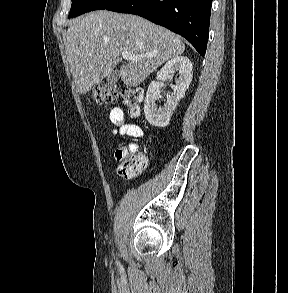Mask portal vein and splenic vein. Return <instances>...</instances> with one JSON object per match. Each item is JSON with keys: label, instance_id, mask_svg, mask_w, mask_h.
Here are the masks:
<instances>
[{"label": "portal vein and splenic vein", "instance_id": "1", "mask_svg": "<svg viewBox=\"0 0 288 293\" xmlns=\"http://www.w3.org/2000/svg\"><path fill=\"white\" fill-rule=\"evenodd\" d=\"M123 59L125 60H138L144 57H149L150 55H140V56H132L131 53L127 52V51H123L121 53Z\"/></svg>", "mask_w": 288, "mask_h": 293}]
</instances>
